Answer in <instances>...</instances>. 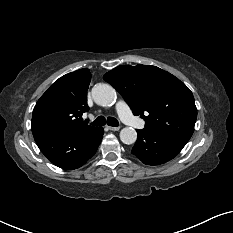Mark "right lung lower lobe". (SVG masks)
Wrapping results in <instances>:
<instances>
[{"instance_id": "right-lung-lower-lobe-1", "label": "right lung lower lobe", "mask_w": 233, "mask_h": 233, "mask_svg": "<svg viewBox=\"0 0 233 233\" xmlns=\"http://www.w3.org/2000/svg\"><path fill=\"white\" fill-rule=\"evenodd\" d=\"M102 137L103 128L95 127L74 136L44 135L34 139L50 162L62 169L73 170L96 153Z\"/></svg>"}]
</instances>
